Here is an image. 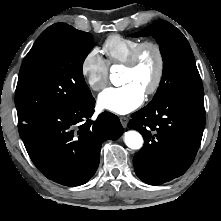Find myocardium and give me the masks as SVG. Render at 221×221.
Masks as SVG:
<instances>
[{
    "label": "myocardium",
    "instance_id": "f54148a6",
    "mask_svg": "<svg viewBox=\"0 0 221 221\" xmlns=\"http://www.w3.org/2000/svg\"><path fill=\"white\" fill-rule=\"evenodd\" d=\"M146 49H152L156 55L157 60V67H156V73L153 82L151 85L145 90V94L152 95L158 91V89L161 86L164 71H165V58L164 53L161 48V46L152 40H146L140 42L130 53L128 59L124 63L125 67L128 69H134L137 67L140 58L143 54V52Z\"/></svg>",
    "mask_w": 221,
    "mask_h": 221
}]
</instances>
